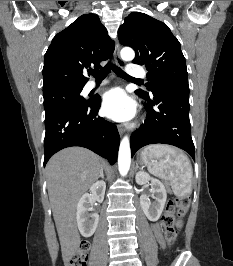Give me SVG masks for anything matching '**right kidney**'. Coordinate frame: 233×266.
Masks as SVG:
<instances>
[{
    "label": "right kidney",
    "mask_w": 233,
    "mask_h": 266,
    "mask_svg": "<svg viewBox=\"0 0 233 266\" xmlns=\"http://www.w3.org/2000/svg\"><path fill=\"white\" fill-rule=\"evenodd\" d=\"M105 190V182L97 181L90 187L91 194L85 193L78 201L76 218L78 229L84 237L92 236L97 228L99 215L89 214V211L94 200L103 201Z\"/></svg>",
    "instance_id": "obj_1"
}]
</instances>
